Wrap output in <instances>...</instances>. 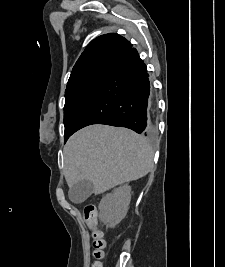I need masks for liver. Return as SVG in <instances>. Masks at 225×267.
Instances as JSON below:
<instances>
[{"label": "liver", "instance_id": "obj_1", "mask_svg": "<svg viewBox=\"0 0 225 267\" xmlns=\"http://www.w3.org/2000/svg\"><path fill=\"white\" fill-rule=\"evenodd\" d=\"M154 152L148 141L126 128L89 125L67 141L64 174L69 187L81 180L93 184V192L107 190L147 175Z\"/></svg>", "mask_w": 225, "mask_h": 267}]
</instances>
